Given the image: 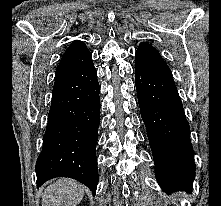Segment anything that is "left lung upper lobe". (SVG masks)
<instances>
[{
  "label": "left lung upper lobe",
  "instance_id": "5c2ea615",
  "mask_svg": "<svg viewBox=\"0 0 221 206\" xmlns=\"http://www.w3.org/2000/svg\"><path fill=\"white\" fill-rule=\"evenodd\" d=\"M135 70L156 75L172 76L168 65L159 52L147 42L141 43L136 51Z\"/></svg>",
  "mask_w": 221,
  "mask_h": 206
}]
</instances>
